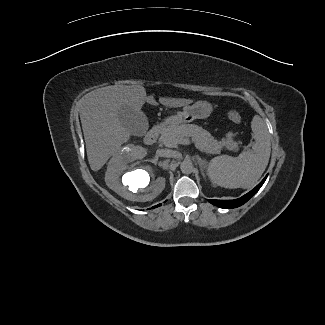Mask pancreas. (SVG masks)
Instances as JSON below:
<instances>
[{
    "label": "pancreas",
    "mask_w": 325,
    "mask_h": 325,
    "mask_svg": "<svg viewBox=\"0 0 325 325\" xmlns=\"http://www.w3.org/2000/svg\"><path fill=\"white\" fill-rule=\"evenodd\" d=\"M184 137H191L198 149L210 154L220 153L223 147L230 150L238 147V143L233 140L232 133H228L225 139L218 141L208 131L194 124L169 125L161 131L159 141L166 147L173 148L177 146L174 140Z\"/></svg>",
    "instance_id": "cf45deb5"
}]
</instances>
